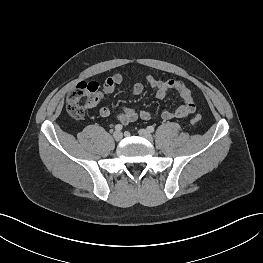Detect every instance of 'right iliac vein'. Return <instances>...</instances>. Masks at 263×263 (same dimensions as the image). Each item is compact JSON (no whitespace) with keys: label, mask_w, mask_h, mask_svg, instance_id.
I'll use <instances>...</instances> for the list:
<instances>
[{"label":"right iliac vein","mask_w":263,"mask_h":263,"mask_svg":"<svg viewBox=\"0 0 263 263\" xmlns=\"http://www.w3.org/2000/svg\"><path fill=\"white\" fill-rule=\"evenodd\" d=\"M113 137L116 141H120L123 137V134L119 131L114 132Z\"/></svg>","instance_id":"63e3f726"}]
</instances>
